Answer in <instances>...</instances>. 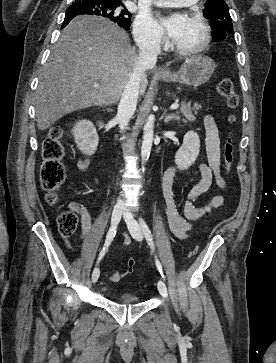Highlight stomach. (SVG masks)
Instances as JSON below:
<instances>
[{
  "label": "stomach",
  "instance_id": "stomach-1",
  "mask_svg": "<svg viewBox=\"0 0 276 363\" xmlns=\"http://www.w3.org/2000/svg\"><path fill=\"white\" fill-rule=\"evenodd\" d=\"M215 68L211 58L196 56L186 59L177 72L161 73L158 77L166 82H177L197 88L209 81Z\"/></svg>",
  "mask_w": 276,
  "mask_h": 363
}]
</instances>
